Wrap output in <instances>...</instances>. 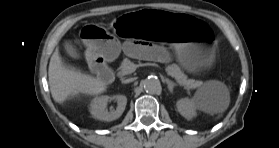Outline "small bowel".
<instances>
[{"instance_id": "c3829d8e", "label": "small bowel", "mask_w": 279, "mask_h": 148, "mask_svg": "<svg viewBox=\"0 0 279 148\" xmlns=\"http://www.w3.org/2000/svg\"><path fill=\"white\" fill-rule=\"evenodd\" d=\"M123 52L132 58H141L165 62L169 55L162 47L143 40L129 39L123 43Z\"/></svg>"}]
</instances>
